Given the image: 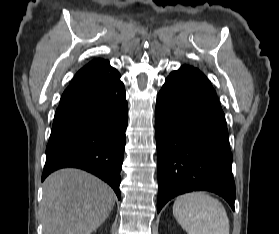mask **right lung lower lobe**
Segmentation results:
<instances>
[{
	"label": "right lung lower lobe",
	"mask_w": 279,
	"mask_h": 234,
	"mask_svg": "<svg viewBox=\"0 0 279 234\" xmlns=\"http://www.w3.org/2000/svg\"><path fill=\"white\" fill-rule=\"evenodd\" d=\"M119 72L109 62L73 78L56 110L42 181L76 167L105 182L120 199L128 105Z\"/></svg>",
	"instance_id": "right-lung-lower-lobe-1"
}]
</instances>
